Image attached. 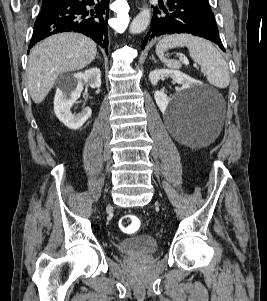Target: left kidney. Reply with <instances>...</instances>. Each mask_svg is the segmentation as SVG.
I'll return each mask as SVG.
<instances>
[{"label":"left kidney","instance_id":"left-kidney-1","mask_svg":"<svg viewBox=\"0 0 267 301\" xmlns=\"http://www.w3.org/2000/svg\"><path fill=\"white\" fill-rule=\"evenodd\" d=\"M164 77H170L174 82L180 84L181 90H188L196 83H198V81L192 79L188 75L176 70L156 69L149 74V80L153 85H156L158 81ZM154 98L156 104L162 112L166 111L168 105L172 100L165 93L158 90L154 92Z\"/></svg>","mask_w":267,"mask_h":301}]
</instances>
